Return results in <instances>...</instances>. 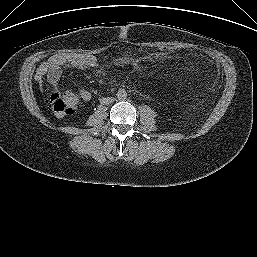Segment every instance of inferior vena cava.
<instances>
[{"label":"inferior vena cava","mask_w":257,"mask_h":257,"mask_svg":"<svg viewBox=\"0 0 257 257\" xmlns=\"http://www.w3.org/2000/svg\"><path fill=\"white\" fill-rule=\"evenodd\" d=\"M113 101H114V98L107 97V98H103L102 103L109 104V103H112Z\"/></svg>","instance_id":"obj_1"}]
</instances>
